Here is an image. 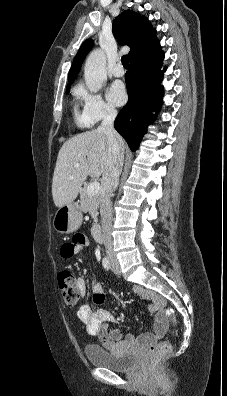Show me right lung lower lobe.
<instances>
[{
  "label": "right lung lower lobe",
  "instance_id": "obj_1",
  "mask_svg": "<svg viewBox=\"0 0 227 396\" xmlns=\"http://www.w3.org/2000/svg\"><path fill=\"white\" fill-rule=\"evenodd\" d=\"M164 53L159 41L141 50L130 59L126 73L128 103L122 108L114 122L115 129L135 151L154 120L152 111L158 112L162 104L163 88L160 83L166 67L161 71Z\"/></svg>",
  "mask_w": 227,
  "mask_h": 396
}]
</instances>
